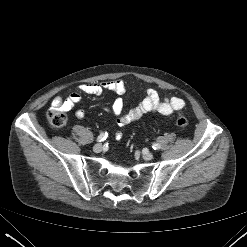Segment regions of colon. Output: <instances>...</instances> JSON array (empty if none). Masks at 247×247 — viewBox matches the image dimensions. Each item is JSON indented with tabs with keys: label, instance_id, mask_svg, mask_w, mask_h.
Returning a JSON list of instances; mask_svg holds the SVG:
<instances>
[{
	"label": "colon",
	"instance_id": "1",
	"mask_svg": "<svg viewBox=\"0 0 247 247\" xmlns=\"http://www.w3.org/2000/svg\"><path fill=\"white\" fill-rule=\"evenodd\" d=\"M47 118L49 121V124L55 128L60 129L64 127L67 124V114L64 112V110L53 108L47 113ZM176 125L180 128H185L188 125V119L182 115L178 114L175 119ZM122 137V133L118 131L116 133V139L120 140Z\"/></svg>",
	"mask_w": 247,
	"mask_h": 247
}]
</instances>
